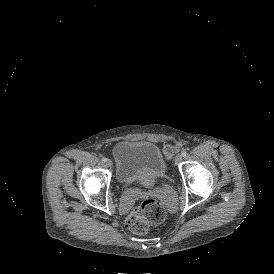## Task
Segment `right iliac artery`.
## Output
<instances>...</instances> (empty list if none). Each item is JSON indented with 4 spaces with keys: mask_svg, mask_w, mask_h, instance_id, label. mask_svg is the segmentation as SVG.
<instances>
[{
    "mask_svg": "<svg viewBox=\"0 0 274 274\" xmlns=\"http://www.w3.org/2000/svg\"><path fill=\"white\" fill-rule=\"evenodd\" d=\"M102 161H103V162H106V161H107V158L103 157V158H102Z\"/></svg>",
    "mask_w": 274,
    "mask_h": 274,
    "instance_id": "right-iliac-artery-1",
    "label": "right iliac artery"
}]
</instances>
